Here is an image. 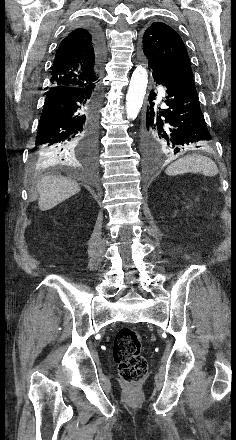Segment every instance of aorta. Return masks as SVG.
Returning a JSON list of instances; mask_svg holds the SVG:
<instances>
[{
	"label": "aorta",
	"instance_id": "1",
	"mask_svg": "<svg viewBox=\"0 0 236 440\" xmlns=\"http://www.w3.org/2000/svg\"><path fill=\"white\" fill-rule=\"evenodd\" d=\"M147 84V71L139 65L133 71L126 95L127 119L134 120L137 118L146 94Z\"/></svg>",
	"mask_w": 236,
	"mask_h": 440
}]
</instances>
